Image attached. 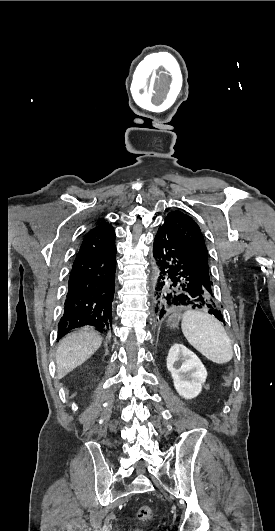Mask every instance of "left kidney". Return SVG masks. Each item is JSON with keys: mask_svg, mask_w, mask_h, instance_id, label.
Segmentation results:
<instances>
[{"mask_svg": "<svg viewBox=\"0 0 275 531\" xmlns=\"http://www.w3.org/2000/svg\"><path fill=\"white\" fill-rule=\"evenodd\" d=\"M180 361H182L180 365ZM174 387L183 399H194L202 391V383L207 379V371L195 353L184 345H173L167 357Z\"/></svg>", "mask_w": 275, "mask_h": 531, "instance_id": "obj_1", "label": "left kidney"}]
</instances>
